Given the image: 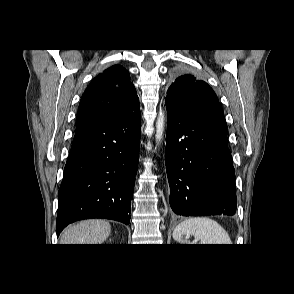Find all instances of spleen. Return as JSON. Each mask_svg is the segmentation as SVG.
I'll list each match as a JSON object with an SVG mask.
<instances>
[{
	"label": "spleen",
	"instance_id": "1",
	"mask_svg": "<svg viewBox=\"0 0 294 294\" xmlns=\"http://www.w3.org/2000/svg\"><path fill=\"white\" fill-rule=\"evenodd\" d=\"M193 235L200 244H232L228 233L213 219L208 217H191L179 223L173 238L181 244H190L183 239V235Z\"/></svg>",
	"mask_w": 294,
	"mask_h": 294
}]
</instances>
